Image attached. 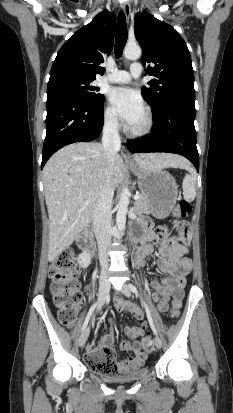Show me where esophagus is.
<instances>
[{
    "mask_svg": "<svg viewBox=\"0 0 233 413\" xmlns=\"http://www.w3.org/2000/svg\"><path fill=\"white\" fill-rule=\"evenodd\" d=\"M121 9L125 15L126 21L129 20L130 14H131V7H130V3L128 1L122 2L121 3ZM125 159L130 160L131 156L128 152L127 149H125V154H124Z\"/></svg>",
    "mask_w": 233,
    "mask_h": 413,
    "instance_id": "esophagus-1",
    "label": "esophagus"
}]
</instances>
